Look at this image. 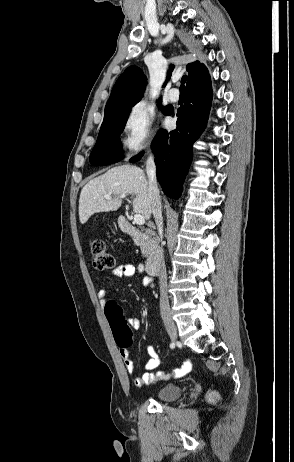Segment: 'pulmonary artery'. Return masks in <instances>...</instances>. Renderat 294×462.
Masks as SVG:
<instances>
[{"mask_svg": "<svg viewBox=\"0 0 294 462\" xmlns=\"http://www.w3.org/2000/svg\"><path fill=\"white\" fill-rule=\"evenodd\" d=\"M168 100L170 102H177L179 100V91L177 88H172L167 93Z\"/></svg>", "mask_w": 294, "mask_h": 462, "instance_id": "pulmonary-artery-1", "label": "pulmonary artery"}]
</instances>
